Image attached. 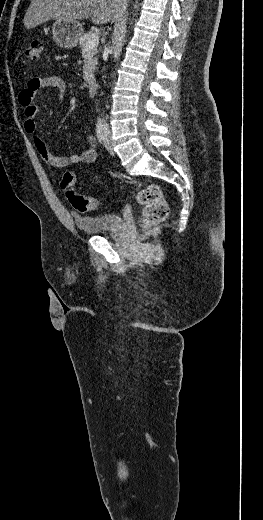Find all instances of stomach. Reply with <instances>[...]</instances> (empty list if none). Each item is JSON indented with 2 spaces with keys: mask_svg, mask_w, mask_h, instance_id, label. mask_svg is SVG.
Instances as JSON below:
<instances>
[{
  "mask_svg": "<svg viewBox=\"0 0 263 520\" xmlns=\"http://www.w3.org/2000/svg\"><path fill=\"white\" fill-rule=\"evenodd\" d=\"M53 39L62 48L72 49L77 46L83 34V27L78 21L56 20L52 26Z\"/></svg>",
  "mask_w": 263,
  "mask_h": 520,
  "instance_id": "obj_1",
  "label": "stomach"
}]
</instances>
